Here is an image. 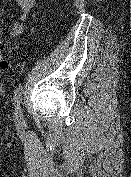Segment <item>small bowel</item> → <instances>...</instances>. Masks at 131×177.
<instances>
[{"mask_svg": "<svg viewBox=\"0 0 131 177\" xmlns=\"http://www.w3.org/2000/svg\"><path fill=\"white\" fill-rule=\"evenodd\" d=\"M17 3L20 7V18L17 23L14 24L10 31L12 37L21 36L26 29V21L30 15L31 10L35 6L36 0H17ZM3 34V30L0 27V36Z\"/></svg>", "mask_w": 131, "mask_h": 177, "instance_id": "obj_1", "label": "small bowel"}]
</instances>
